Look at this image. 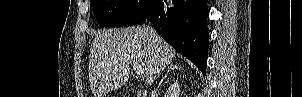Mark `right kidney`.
I'll list each match as a JSON object with an SVG mask.
<instances>
[{
  "label": "right kidney",
  "instance_id": "obj_1",
  "mask_svg": "<svg viewBox=\"0 0 302 97\" xmlns=\"http://www.w3.org/2000/svg\"><path fill=\"white\" fill-rule=\"evenodd\" d=\"M180 93V86L176 81L173 83L167 90L166 96L167 97H178Z\"/></svg>",
  "mask_w": 302,
  "mask_h": 97
}]
</instances>
